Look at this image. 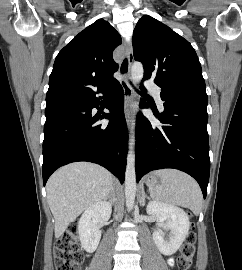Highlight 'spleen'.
Here are the masks:
<instances>
[{"label":"spleen","instance_id":"1","mask_svg":"<svg viewBox=\"0 0 242 270\" xmlns=\"http://www.w3.org/2000/svg\"><path fill=\"white\" fill-rule=\"evenodd\" d=\"M161 184L151 191L156 202L189 208L199 214L203 197L198 183L189 175L175 169H163L155 173Z\"/></svg>","mask_w":242,"mask_h":270}]
</instances>
